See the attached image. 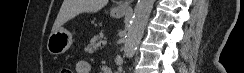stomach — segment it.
I'll use <instances>...</instances> for the list:
<instances>
[{"mask_svg": "<svg viewBox=\"0 0 244 73\" xmlns=\"http://www.w3.org/2000/svg\"><path fill=\"white\" fill-rule=\"evenodd\" d=\"M125 11L113 9L111 15L113 17H122ZM72 34L61 27L59 30L51 32L47 41V50L52 55H60L65 53L72 45Z\"/></svg>", "mask_w": 244, "mask_h": 73, "instance_id": "stomach-1", "label": "stomach"}]
</instances>
